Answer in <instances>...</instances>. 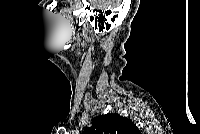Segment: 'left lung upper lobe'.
Returning <instances> with one entry per match:
<instances>
[{
	"label": "left lung upper lobe",
	"instance_id": "5c2ea615",
	"mask_svg": "<svg viewBox=\"0 0 200 134\" xmlns=\"http://www.w3.org/2000/svg\"><path fill=\"white\" fill-rule=\"evenodd\" d=\"M92 122L83 134H140L134 123L118 114L99 115Z\"/></svg>",
	"mask_w": 200,
	"mask_h": 134
}]
</instances>
